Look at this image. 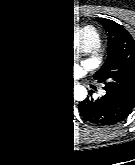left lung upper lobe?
<instances>
[{"instance_id": "left-lung-upper-lobe-1", "label": "left lung upper lobe", "mask_w": 135, "mask_h": 165, "mask_svg": "<svg viewBox=\"0 0 135 165\" xmlns=\"http://www.w3.org/2000/svg\"><path fill=\"white\" fill-rule=\"evenodd\" d=\"M107 34L108 57L98 71L105 90L120 94L135 105V41L120 24L98 18Z\"/></svg>"}]
</instances>
